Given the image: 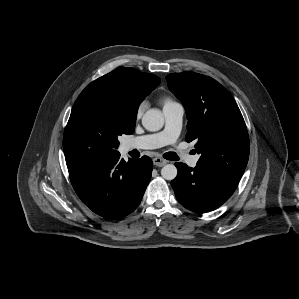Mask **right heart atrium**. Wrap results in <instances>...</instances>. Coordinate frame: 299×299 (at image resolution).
<instances>
[{"label": "right heart atrium", "mask_w": 299, "mask_h": 299, "mask_svg": "<svg viewBox=\"0 0 299 299\" xmlns=\"http://www.w3.org/2000/svg\"><path fill=\"white\" fill-rule=\"evenodd\" d=\"M145 108H146V104L144 102H142L138 105V107L136 108V112H135V116L137 119L141 118Z\"/></svg>", "instance_id": "1"}]
</instances>
